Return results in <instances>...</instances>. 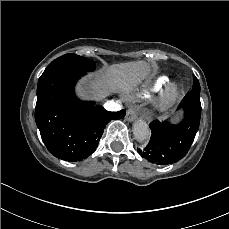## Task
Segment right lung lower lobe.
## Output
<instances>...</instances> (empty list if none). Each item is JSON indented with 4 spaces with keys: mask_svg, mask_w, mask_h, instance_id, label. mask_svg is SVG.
<instances>
[{
    "mask_svg": "<svg viewBox=\"0 0 229 229\" xmlns=\"http://www.w3.org/2000/svg\"><path fill=\"white\" fill-rule=\"evenodd\" d=\"M86 72L60 71L38 82L35 120L48 151L65 161L91 155L108 122L122 119L125 110L108 112L94 102H81L74 94Z\"/></svg>",
    "mask_w": 229,
    "mask_h": 229,
    "instance_id": "right-lung-lower-lobe-1",
    "label": "right lung lower lobe"
}]
</instances>
